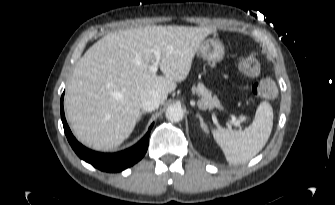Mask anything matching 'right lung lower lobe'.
<instances>
[{
    "mask_svg": "<svg viewBox=\"0 0 335 205\" xmlns=\"http://www.w3.org/2000/svg\"><path fill=\"white\" fill-rule=\"evenodd\" d=\"M63 97L64 93L61 96V119L64 131L71 147L81 159L90 163L99 170L106 172H119L132 166L145 155L153 124L148 129L146 135L133 147L113 154L98 153L81 145L71 133L64 115Z\"/></svg>",
    "mask_w": 335,
    "mask_h": 205,
    "instance_id": "1",
    "label": "right lung lower lobe"
}]
</instances>
